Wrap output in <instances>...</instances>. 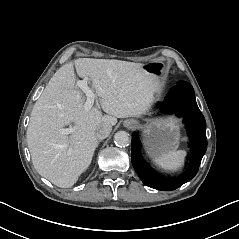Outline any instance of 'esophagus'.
I'll return each mask as SVG.
<instances>
[{
  "label": "esophagus",
  "instance_id": "esophagus-1",
  "mask_svg": "<svg viewBox=\"0 0 239 239\" xmlns=\"http://www.w3.org/2000/svg\"><path fill=\"white\" fill-rule=\"evenodd\" d=\"M138 125V122L134 119H128L124 121V126L129 129H135Z\"/></svg>",
  "mask_w": 239,
  "mask_h": 239
}]
</instances>
